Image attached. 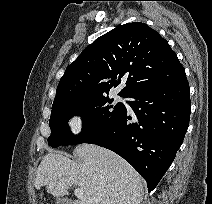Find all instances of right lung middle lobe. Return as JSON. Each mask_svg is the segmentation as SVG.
I'll return each instance as SVG.
<instances>
[{"label":"right lung middle lobe","mask_w":212,"mask_h":204,"mask_svg":"<svg viewBox=\"0 0 212 204\" xmlns=\"http://www.w3.org/2000/svg\"><path fill=\"white\" fill-rule=\"evenodd\" d=\"M112 101L113 99L106 96H100L52 109L49 121L51 129V135L48 138L49 145L58 147L84 143L88 138L100 132L125 109L122 103L109 105ZM75 114L82 115L83 131L79 135H73L67 123Z\"/></svg>","instance_id":"1"}]
</instances>
